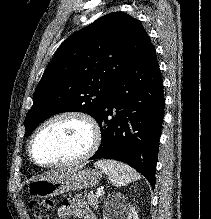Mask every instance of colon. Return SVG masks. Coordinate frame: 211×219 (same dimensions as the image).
I'll use <instances>...</instances> for the list:
<instances>
[{"label":"colon","mask_w":211,"mask_h":219,"mask_svg":"<svg viewBox=\"0 0 211 219\" xmlns=\"http://www.w3.org/2000/svg\"><path fill=\"white\" fill-rule=\"evenodd\" d=\"M28 209L36 219H50L54 213V204L50 200H31Z\"/></svg>","instance_id":"colon-1"}]
</instances>
